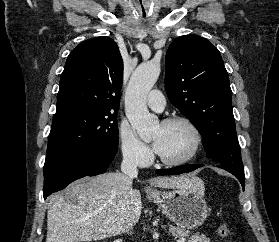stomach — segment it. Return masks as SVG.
<instances>
[{"label":"stomach","instance_id":"1","mask_svg":"<svg viewBox=\"0 0 279 242\" xmlns=\"http://www.w3.org/2000/svg\"><path fill=\"white\" fill-rule=\"evenodd\" d=\"M149 198L182 229H195L201 226L208 216L207 203L200 190L187 188L156 190L149 193Z\"/></svg>","mask_w":279,"mask_h":242}]
</instances>
